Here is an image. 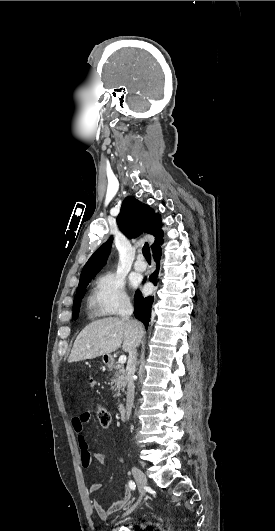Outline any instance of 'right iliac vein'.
<instances>
[{
	"label": "right iliac vein",
	"instance_id": "obj_1",
	"mask_svg": "<svg viewBox=\"0 0 275 531\" xmlns=\"http://www.w3.org/2000/svg\"><path fill=\"white\" fill-rule=\"evenodd\" d=\"M132 473H133V476H134V479L136 481V483L138 484V487H139V490H140V497H139V500L138 502L127 512L124 514V516H126L127 514L131 513L138 505L139 503L141 502L143 496H144V489L146 487V485L148 484V481H147V478L145 476V474L142 472L141 469H139L138 467H132Z\"/></svg>",
	"mask_w": 275,
	"mask_h": 531
}]
</instances>
